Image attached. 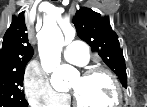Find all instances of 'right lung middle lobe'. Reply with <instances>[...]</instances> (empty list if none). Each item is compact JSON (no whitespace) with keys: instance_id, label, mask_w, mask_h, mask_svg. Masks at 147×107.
<instances>
[{"instance_id":"right-lung-middle-lobe-1","label":"right lung middle lobe","mask_w":147,"mask_h":107,"mask_svg":"<svg viewBox=\"0 0 147 107\" xmlns=\"http://www.w3.org/2000/svg\"><path fill=\"white\" fill-rule=\"evenodd\" d=\"M25 68L0 75V107H27L23 87Z\"/></svg>"}]
</instances>
